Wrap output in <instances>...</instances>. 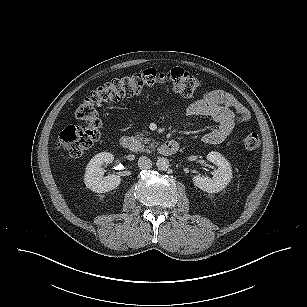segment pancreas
Returning <instances> with one entry per match:
<instances>
[{
    "instance_id": "pancreas-1",
    "label": "pancreas",
    "mask_w": 307,
    "mask_h": 307,
    "mask_svg": "<svg viewBox=\"0 0 307 307\" xmlns=\"http://www.w3.org/2000/svg\"><path fill=\"white\" fill-rule=\"evenodd\" d=\"M136 140L138 142H142V143H145V144L148 145V146H146V148L141 149L143 152H149L150 149H153L156 146L154 140H152L150 138H144V133H140L139 135H137Z\"/></svg>"
}]
</instances>
